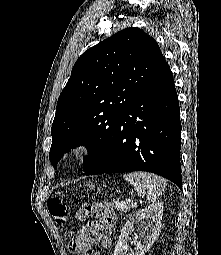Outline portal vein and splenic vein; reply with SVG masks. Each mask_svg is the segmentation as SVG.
Returning a JSON list of instances; mask_svg holds the SVG:
<instances>
[{"mask_svg":"<svg viewBox=\"0 0 221 255\" xmlns=\"http://www.w3.org/2000/svg\"><path fill=\"white\" fill-rule=\"evenodd\" d=\"M132 204H136L135 202H131Z\"/></svg>","mask_w":221,"mask_h":255,"instance_id":"portal-vein-and-splenic-vein-1","label":"portal vein and splenic vein"}]
</instances>
